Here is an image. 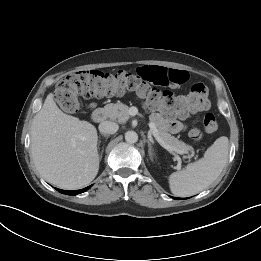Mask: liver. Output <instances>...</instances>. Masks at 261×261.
<instances>
[{
  "mask_svg": "<svg viewBox=\"0 0 261 261\" xmlns=\"http://www.w3.org/2000/svg\"><path fill=\"white\" fill-rule=\"evenodd\" d=\"M49 93L31 126V157L41 176L62 189L87 186L99 170L97 130L63 113Z\"/></svg>",
  "mask_w": 261,
  "mask_h": 261,
  "instance_id": "liver-1",
  "label": "liver"
}]
</instances>
